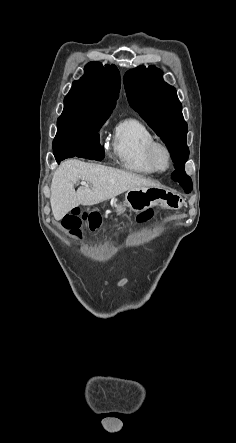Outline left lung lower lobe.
<instances>
[{
  "mask_svg": "<svg viewBox=\"0 0 236 443\" xmlns=\"http://www.w3.org/2000/svg\"><path fill=\"white\" fill-rule=\"evenodd\" d=\"M172 179L176 182H179L180 185L184 188V191L186 193L191 192L192 190V180L191 178L185 173L184 168L176 169L172 174Z\"/></svg>",
  "mask_w": 236,
  "mask_h": 443,
  "instance_id": "left-lung-lower-lobe-1",
  "label": "left lung lower lobe"
}]
</instances>
